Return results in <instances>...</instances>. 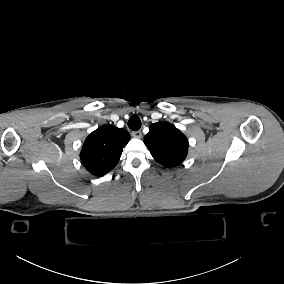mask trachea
I'll return each mask as SVG.
<instances>
[{"instance_id":"1","label":"trachea","mask_w":284,"mask_h":284,"mask_svg":"<svg viewBox=\"0 0 284 284\" xmlns=\"http://www.w3.org/2000/svg\"><path fill=\"white\" fill-rule=\"evenodd\" d=\"M128 127L133 131L139 130L141 128V120L139 116L137 115L131 116L130 119L128 120Z\"/></svg>"}]
</instances>
